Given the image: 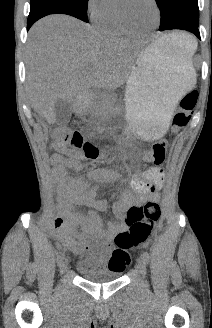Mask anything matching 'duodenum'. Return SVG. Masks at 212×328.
I'll list each match as a JSON object with an SVG mask.
<instances>
[{
	"instance_id": "1",
	"label": "duodenum",
	"mask_w": 212,
	"mask_h": 328,
	"mask_svg": "<svg viewBox=\"0 0 212 328\" xmlns=\"http://www.w3.org/2000/svg\"><path fill=\"white\" fill-rule=\"evenodd\" d=\"M88 95H83L82 97H80L75 105H74V113L75 114H80L82 111V108L84 106V104L86 103V101L88 100Z\"/></svg>"
}]
</instances>
